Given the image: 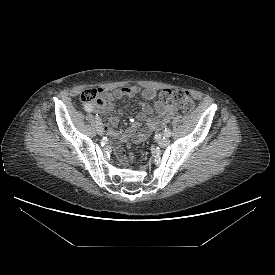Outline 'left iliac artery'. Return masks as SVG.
I'll return each mask as SVG.
<instances>
[{
	"label": "left iliac artery",
	"mask_w": 275,
	"mask_h": 275,
	"mask_svg": "<svg viewBox=\"0 0 275 275\" xmlns=\"http://www.w3.org/2000/svg\"><path fill=\"white\" fill-rule=\"evenodd\" d=\"M164 136L165 137H170L171 136V131L169 129H165Z\"/></svg>",
	"instance_id": "1"
}]
</instances>
